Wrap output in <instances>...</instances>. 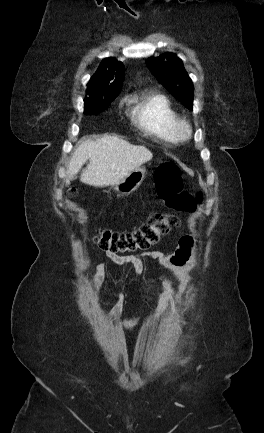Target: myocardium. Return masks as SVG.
<instances>
[{
  "label": "myocardium",
  "mask_w": 264,
  "mask_h": 433,
  "mask_svg": "<svg viewBox=\"0 0 264 433\" xmlns=\"http://www.w3.org/2000/svg\"><path fill=\"white\" fill-rule=\"evenodd\" d=\"M176 134L180 140H188L192 137L193 128L189 121L179 119L176 124Z\"/></svg>",
  "instance_id": "obj_1"
}]
</instances>
